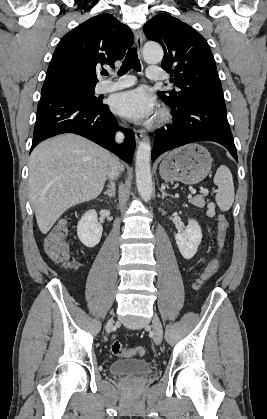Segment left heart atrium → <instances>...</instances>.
Segmentation results:
<instances>
[{
    "mask_svg": "<svg viewBox=\"0 0 267 419\" xmlns=\"http://www.w3.org/2000/svg\"><path fill=\"white\" fill-rule=\"evenodd\" d=\"M111 107L123 117L143 121L154 115L155 99L146 89L136 88L116 94Z\"/></svg>",
    "mask_w": 267,
    "mask_h": 419,
    "instance_id": "1",
    "label": "left heart atrium"
}]
</instances>
